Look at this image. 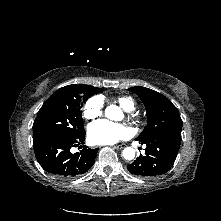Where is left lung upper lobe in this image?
<instances>
[{"label":"left lung upper lobe","mask_w":221,"mask_h":221,"mask_svg":"<svg viewBox=\"0 0 221 221\" xmlns=\"http://www.w3.org/2000/svg\"><path fill=\"white\" fill-rule=\"evenodd\" d=\"M129 90L140 97L147 112V126L136 140L147 139L160 133L181 135L182 119L177 108L168 98L154 90L141 86L132 87Z\"/></svg>","instance_id":"left-lung-upper-lobe-1"}]
</instances>
